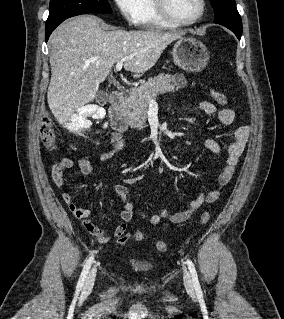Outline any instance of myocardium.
Returning a JSON list of instances; mask_svg holds the SVG:
<instances>
[{
    "instance_id": "myocardium-1",
    "label": "myocardium",
    "mask_w": 284,
    "mask_h": 319,
    "mask_svg": "<svg viewBox=\"0 0 284 319\" xmlns=\"http://www.w3.org/2000/svg\"><path fill=\"white\" fill-rule=\"evenodd\" d=\"M157 14L167 23L173 26H187L200 21L206 12V0H200V11L192 19L182 20L175 17L169 7L168 0H153Z\"/></svg>"
}]
</instances>
